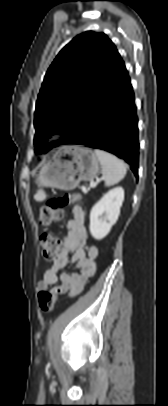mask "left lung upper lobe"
I'll return each instance as SVG.
<instances>
[{
  "instance_id": "left-lung-upper-lobe-1",
  "label": "left lung upper lobe",
  "mask_w": 168,
  "mask_h": 406,
  "mask_svg": "<svg viewBox=\"0 0 168 406\" xmlns=\"http://www.w3.org/2000/svg\"><path fill=\"white\" fill-rule=\"evenodd\" d=\"M121 62L111 40L92 31L76 36L59 52L46 72L36 102V153H46L81 130ZM55 133L62 139L45 143Z\"/></svg>"
}]
</instances>
